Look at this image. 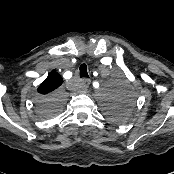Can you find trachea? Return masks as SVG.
Returning a JSON list of instances; mask_svg holds the SVG:
<instances>
[{"instance_id":"3493384b","label":"trachea","mask_w":174,"mask_h":174,"mask_svg":"<svg viewBox=\"0 0 174 174\" xmlns=\"http://www.w3.org/2000/svg\"><path fill=\"white\" fill-rule=\"evenodd\" d=\"M79 70H80V77L89 78L86 64H82Z\"/></svg>"}]
</instances>
